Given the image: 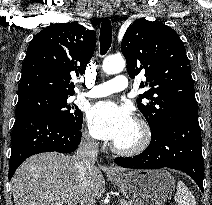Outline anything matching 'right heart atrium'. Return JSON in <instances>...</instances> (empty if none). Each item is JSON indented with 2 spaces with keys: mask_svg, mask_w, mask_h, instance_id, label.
I'll return each instance as SVG.
<instances>
[{
  "mask_svg": "<svg viewBox=\"0 0 212 205\" xmlns=\"http://www.w3.org/2000/svg\"><path fill=\"white\" fill-rule=\"evenodd\" d=\"M83 137H84V140L87 144H89V145L95 144V140L93 139V137H92V135L90 134L89 131H85Z\"/></svg>",
  "mask_w": 212,
  "mask_h": 205,
  "instance_id": "d8ad5b80",
  "label": "right heart atrium"
}]
</instances>
